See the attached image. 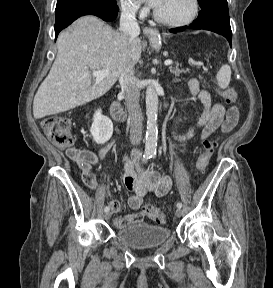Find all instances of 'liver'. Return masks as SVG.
Here are the masks:
<instances>
[{"instance_id":"obj_1","label":"liver","mask_w":273,"mask_h":288,"mask_svg":"<svg viewBox=\"0 0 273 288\" xmlns=\"http://www.w3.org/2000/svg\"><path fill=\"white\" fill-rule=\"evenodd\" d=\"M57 56L33 101L35 119L84 105L108 92L127 66L141 57L138 38L114 31L94 16L79 18L71 31L60 33ZM109 70L100 82L94 71Z\"/></svg>"}]
</instances>
